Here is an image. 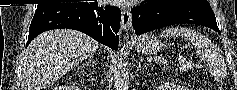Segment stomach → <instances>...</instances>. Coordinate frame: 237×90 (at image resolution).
Wrapping results in <instances>:
<instances>
[{"label":"stomach","instance_id":"1","mask_svg":"<svg viewBox=\"0 0 237 90\" xmlns=\"http://www.w3.org/2000/svg\"><path fill=\"white\" fill-rule=\"evenodd\" d=\"M137 52L144 55L157 53L163 46L161 41L152 34H144L134 43Z\"/></svg>","mask_w":237,"mask_h":90}]
</instances>
